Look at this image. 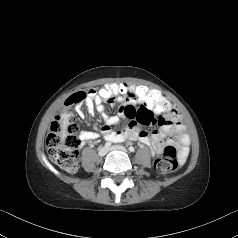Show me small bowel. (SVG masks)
<instances>
[{"mask_svg":"<svg viewBox=\"0 0 238 238\" xmlns=\"http://www.w3.org/2000/svg\"><path fill=\"white\" fill-rule=\"evenodd\" d=\"M135 87L128 85L127 93L118 96V103H122L118 116H108L104 103H100V100H98V94L93 89L88 91L84 99L85 105L89 112L96 110L102 116L104 124L100 128L101 135L106 140L114 143L123 142L127 139L141 142L157 154L161 153L168 145L175 144L178 147L180 159H185L188 154L190 139L185 126L179 120L178 114L172 110L170 114L158 118L160 112L157 110L152 112L151 107L145 104L146 98L138 99L135 97ZM165 102L170 106L166 100ZM109 104L115 105L116 103ZM75 105L76 111L82 116L80 103ZM65 107L69 108L71 106L65 103ZM69 113L71 112H63V114ZM121 118H127L129 121L124 129L117 131L115 128L120 123ZM156 123L159 124V128L153 130L151 134L140 127V125L153 126ZM100 133L97 131H82L79 135L81 145L97 139ZM169 135L175 137L166 139Z\"/></svg>","mask_w":238,"mask_h":238,"instance_id":"c3829d8e","label":"small bowel"}]
</instances>
